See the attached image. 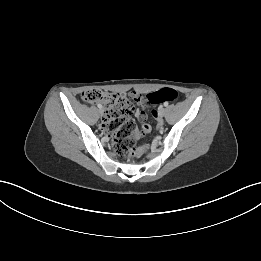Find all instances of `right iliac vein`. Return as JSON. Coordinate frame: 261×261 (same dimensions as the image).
Masks as SVG:
<instances>
[{
  "label": "right iliac vein",
  "instance_id": "right-iliac-vein-1",
  "mask_svg": "<svg viewBox=\"0 0 261 261\" xmlns=\"http://www.w3.org/2000/svg\"><path fill=\"white\" fill-rule=\"evenodd\" d=\"M99 112H100V114L102 115V114L104 113V109L101 108V109L99 110Z\"/></svg>",
  "mask_w": 261,
  "mask_h": 261
}]
</instances>
